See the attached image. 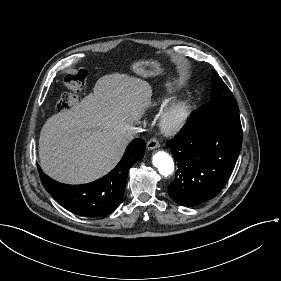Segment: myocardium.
Segmentation results:
<instances>
[{"mask_svg":"<svg viewBox=\"0 0 281 281\" xmlns=\"http://www.w3.org/2000/svg\"><path fill=\"white\" fill-rule=\"evenodd\" d=\"M191 112V105L186 99H180L172 103L160 117L159 128L161 133L167 137L175 136L185 127Z\"/></svg>","mask_w":281,"mask_h":281,"instance_id":"obj_1","label":"myocardium"}]
</instances>
